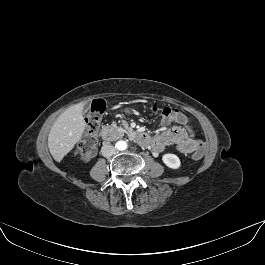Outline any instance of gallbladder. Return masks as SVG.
<instances>
[{
	"label": "gallbladder",
	"instance_id": "gallbladder-1",
	"mask_svg": "<svg viewBox=\"0 0 265 265\" xmlns=\"http://www.w3.org/2000/svg\"><path fill=\"white\" fill-rule=\"evenodd\" d=\"M90 108V105H85L84 108H83V113H86Z\"/></svg>",
	"mask_w": 265,
	"mask_h": 265
}]
</instances>
